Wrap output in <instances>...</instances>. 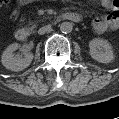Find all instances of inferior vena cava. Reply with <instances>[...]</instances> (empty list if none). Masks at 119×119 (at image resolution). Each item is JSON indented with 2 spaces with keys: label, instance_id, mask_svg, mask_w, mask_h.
I'll return each mask as SVG.
<instances>
[{
  "label": "inferior vena cava",
  "instance_id": "inferior-vena-cava-1",
  "mask_svg": "<svg viewBox=\"0 0 119 119\" xmlns=\"http://www.w3.org/2000/svg\"><path fill=\"white\" fill-rule=\"evenodd\" d=\"M51 30H52L51 25H46V26L41 27V28L38 30V34L43 35V34H45L46 32H50Z\"/></svg>",
  "mask_w": 119,
  "mask_h": 119
}]
</instances>
